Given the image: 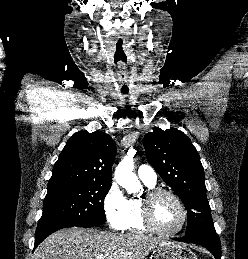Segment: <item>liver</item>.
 Wrapping results in <instances>:
<instances>
[{
	"label": "liver",
	"instance_id": "liver-1",
	"mask_svg": "<svg viewBox=\"0 0 248 259\" xmlns=\"http://www.w3.org/2000/svg\"><path fill=\"white\" fill-rule=\"evenodd\" d=\"M166 241L143 234H117L95 229L67 228L47 237L34 259H144Z\"/></svg>",
	"mask_w": 248,
	"mask_h": 259
}]
</instances>
